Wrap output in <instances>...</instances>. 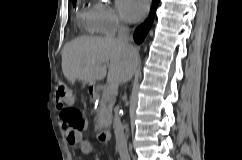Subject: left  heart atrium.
<instances>
[{
	"mask_svg": "<svg viewBox=\"0 0 242 160\" xmlns=\"http://www.w3.org/2000/svg\"><path fill=\"white\" fill-rule=\"evenodd\" d=\"M117 9L128 22H136L144 17L149 8V0H117Z\"/></svg>",
	"mask_w": 242,
	"mask_h": 160,
	"instance_id": "obj_1",
	"label": "left heart atrium"
}]
</instances>
